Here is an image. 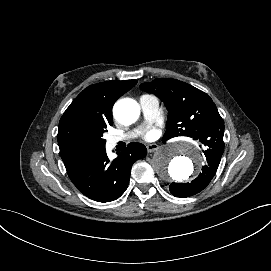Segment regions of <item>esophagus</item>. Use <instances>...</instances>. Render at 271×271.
<instances>
[{
  "mask_svg": "<svg viewBox=\"0 0 271 271\" xmlns=\"http://www.w3.org/2000/svg\"><path fill=\"white\" fill-rule=\"evenodd\" d=\"M146 148H147V151H148L149 153H151V152L157 151L158 148H159V146H158L156 143H150V144H148V145L146 146Z\"/></svg>",
  "mask_w": 271,
  "mask_h": 271,
  "instance_id": "esophagus-1",
  "label": "esophagus"
}]
</instances>
